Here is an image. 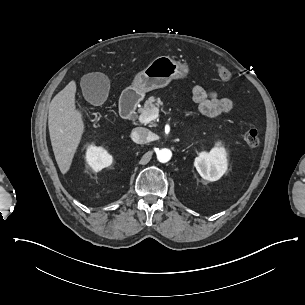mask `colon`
<instances>
[{
  "label": "colon",
  "instance_id": "obj_1",
  "mask_svg": "<svg viewBox=\"0 0 305 305\" xmlns=\"http://www.w3.org/2000/svg\"><path fill=\"white\" fill-rule=\"evenodd\" d=\"M215 74L218 81L222 84H228L232 79L230 70L221 63L216 64ZM239 137L242 141L252 147H257L260 144V133L256 129L239 132Z\"/></svg>",
  "mask_w": 305,
  "mask_h": 305
}]
</instances>
